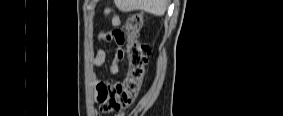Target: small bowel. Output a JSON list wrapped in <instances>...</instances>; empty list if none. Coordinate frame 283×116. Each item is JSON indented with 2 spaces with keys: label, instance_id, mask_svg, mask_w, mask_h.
<instances>
[{
  "label": "small bowel",
  "instance_id": "small-bowel-1",
  "mask_svg": "<svg viewBox=\"0 0 283 116\" xmlns=\"http://www.w3.org/2000/svg\"><path fill=\"white\" fill-rule=\"evenodd\" d=\"M105 14L111 15L112 25L114 26L115 29L111 32H106L103 30L100 31L97 35V41L99 43H108L112 40L116 41L118 45V51L109 65L110 74L115 76L120 72V62L123 57L122 44L119 42V39L116 36V34L119 32L118 28L121 25V21H120L119 16L111 9H105ZM106 58H107V52L104 48L101 47L97 50L95 56L92 58V65L95 67H101L105 64Z\"/></svg>",
  "mask_w": 283,
  "mask_h": 116
}]
</instances>
